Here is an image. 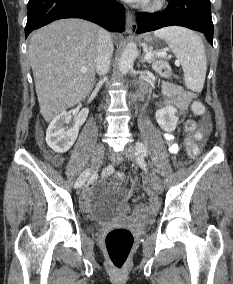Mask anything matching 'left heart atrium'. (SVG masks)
<instances>
[{
	"label": "left heart atrium",
	"instance_id": "1",
	"mask_svg": "<svg viewBox=\"0 0 233 284\" xmlns=\"http://www.w3.org/2000/svg\"><path fill=\"white\" fill-rule=\"evenodd\" d=\"M126 1L143 3V2H146L147 0H126Z\"/></svg>",
	"mask_w": 233,
	"mask_h": 284
}]
</instances>
